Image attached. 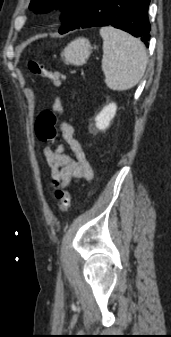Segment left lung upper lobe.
I'll return each instance as SVG.
<instances>
[{"label": "left lung upper lobe", "mask_w": 171, "mask_h": 337, "mask_svg": "<svg viewBox=\"0 0 171 337\" xmlns=\"http://www.w3.org/2000/svg\"><path fill=\"white\" fill-rule=\"evenodd\" d=\"M86 0H32L29 8L36 13L61 9L62 26L59 33L68 32L75 24Z\"/></svg>", "instance_id": "left-lung-upper-lobe-1"}]
</instances>
